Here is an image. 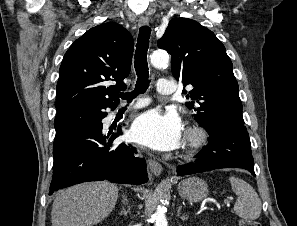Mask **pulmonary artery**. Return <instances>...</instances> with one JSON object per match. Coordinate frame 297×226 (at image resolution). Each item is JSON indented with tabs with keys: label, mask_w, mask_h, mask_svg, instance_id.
Here are the masks:
<instances>
[{
	"label": "pulmonary artery",
	"mask_w": 297,
	"mask_h": 226,
	"mask_svg": "<svg viewBox=\"0 0 297 226\" xmlns=\"http://www.w3.org/2000/svg\"><path fill=\"white\" fill-rule=\"evenodd\" d=\"M175 89V84L169 79H159L157 82V92L161 95H173ZM147 104L148 101L140 100L133 107H140Z\"/></svg>",
	"instance_id": "1"
}]
</instances>
